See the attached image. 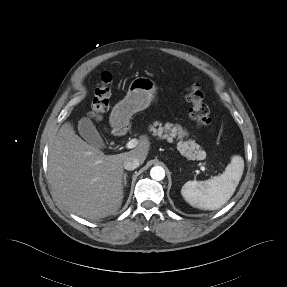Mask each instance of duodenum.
<instances>
[{"instance_id":"410a0bca","label":"duodenum","mask_w":287,"mask_h":287,"mask_svg":"<svg viewBox=\"0 0 287 287\" xmlns=\"http://www.w3.org/2000/svg\"><path fill=\"white\" fill-rule=\"evenodd\" d=\"M114 132L117 136H122L128 129V124L125 122L117 121L115 122L114 126Z\"/></svg>"}]
</instances>
